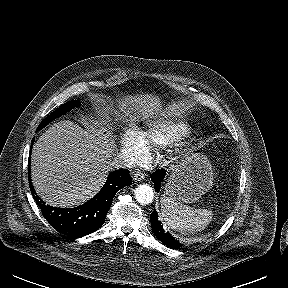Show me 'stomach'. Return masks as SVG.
I'll return each instance as SVG.
<instances>
[{"label": "stomach", "instance_id": "0dacf381", "mask_svg": "<svg viewBox=\"0 0 288 288\" xmlns=\"http://www.w3.org/2000/svg\"><path fill=\"white\" fill-rule=\"evenodd\" d=\"M213 179L212 164L205 155H185L172 168L163 196L182 203H193L212 187Z\"/></svg>", "mask_w": 288, "mask_h": 288}]
</instances>
